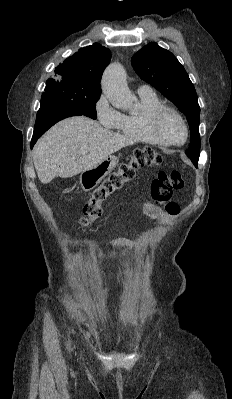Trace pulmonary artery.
<instances>
[{
	"label": "pulmonary artery",
	"instance_id": "e3ab8cb5",
	"mask_svg": "<svg viewBox=\"0 0 232 399\" xmlns=\"http://www.w3.org/2000/svg\"><path fill=\"white\" fill-rule=\"evenodd\" d=\"M139 96H152V89L149 83L143 84V89H139Z\"/></svg>",
	"mask_w": 232,
	"mask_h": 399
}]
</instances>
